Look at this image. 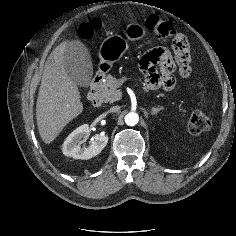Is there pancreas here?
<instances>
[{
    "label": "pancreas",
    "mask_w": 236,
    "mask_h": 236,
    "mask_svg": "<svg viewBox=\"0 0 236 236\" xmlns=\"http://www.w3.org/2000/svg\"><path fill=\"white\" fill-rule=\"evenodd\" d=\"M122 85V83L117 80L112 75H107L105 81L101 83L99 87V97L104 102H115L120 100L122 97V92L118 90V88Z\"/></svg>",
    "instance_id": "pancreas-1"
}]
</instances>
